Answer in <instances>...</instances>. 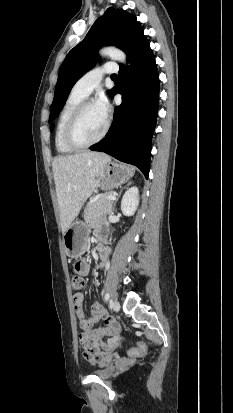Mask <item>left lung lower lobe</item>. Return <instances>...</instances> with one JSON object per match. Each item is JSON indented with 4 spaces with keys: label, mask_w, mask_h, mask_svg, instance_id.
Masks as SVG:
<instances>
[{
    "label": "left lung lower lobe",
    "mask_w": 233,
    "mask_h": 413,
    "mask_svg": "<svg viewBox=\"0 0 233 413\" xmlns=\"http://www.w3.org/2000/svg\"><path fill=\"white\" fill-rule=\"evenodd\" d=\"M130 68L120 65V85L111 93L122 95L115 107L112 125L91 150L105 152L137 166L148 177L151 139L159 104V78L150 43L145 38L128 55Z\"/></svg>",
    "instance_id": "1"
}]
</instances>
